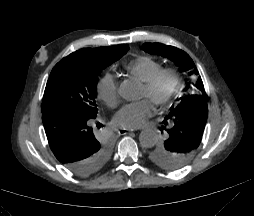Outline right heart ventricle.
Listing matches in <instances>:
<instances>
[{
	"mask_svg": "<svg viewBox=\"0 0 254 216\" xmlns=\"http://www.w3.org/2000/svg\"><path fill=\"white\" fill-rule=\"evenodd\" d=\"M127 69L132 76L142 82H146L154 73L161 69V65L150 57H140L131 62Z\"/></svg>",
	"mask_w": 254,
	"mask_h": 216,
	"instance_id": "obj_1",
	"label": "right heart ventricle"
}]
</instances>
